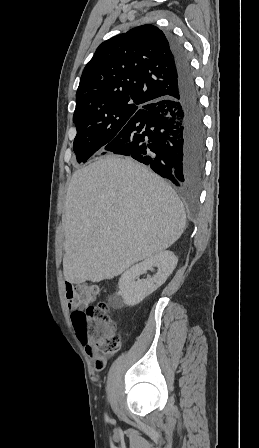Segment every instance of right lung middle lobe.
<instances>
[{
	"instance_id": "obj_1",
	"label": "right lung middle lobe",
	"mask_w": 259,
	"mask_h": 448,
	"mask_svg": "<svg viewBox=\"0 0 259 448\" xmlns=\"http://www.w3.org/2000/svg\"><path fill=\"white\" fill-rule=\"evenodd\" d=\"M144 107L132 106L126 109L102 112L84 113L73 116L77 129L73 149L78 163H85L91 156L104 154L106 145L122 130L126 123L135 115H139Z\"/></svg>"
}]
</instances>
